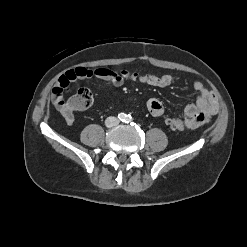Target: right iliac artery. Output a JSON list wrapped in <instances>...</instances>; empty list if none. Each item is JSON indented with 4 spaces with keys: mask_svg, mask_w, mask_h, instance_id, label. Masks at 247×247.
<instances>
[{
    "mask_svg": "<svg viewBox=\"0 0 247 247\" xmlns=\"http://www.w3.org/2000/svg\"><path fill=\"white\" fill-rule=\"evenodd\" d=\"M126 117H127V115L124 114V113H120V114L118 115V119H119L120 121H122V122H125Z\"/></svg>",
    "mask_w": 247,
    "mask_h": 247,
    "instance_id": "obj_1",
    "label": "right iliac artery"
}]
</instances>
